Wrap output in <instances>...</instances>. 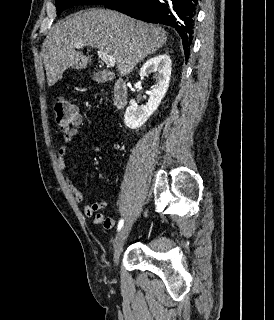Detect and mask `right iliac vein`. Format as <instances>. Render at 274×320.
Wrapping results in <instances>:
<instances>
[{
	"instance_id": "obj_1",
	"label": "right iliac vein",
	"mask_w": 274,
	"mask_h": 320,
	"mask_svg": "<svg viewBox=\"0 0 274 320\" xmlns=\"http://www.w3.org/2000/svg\"><path fill=\"white\" fill-rule=\"evenodd\" d=\"M132 227V221L129 219L127 220V222L125 223V225L122 227V229L120 230V232L118 233L115 241H114V255H113V261L115 264L118 263L120 254L122 252L124 243L130 233Z\"/></svg>"
}]
</instances>
